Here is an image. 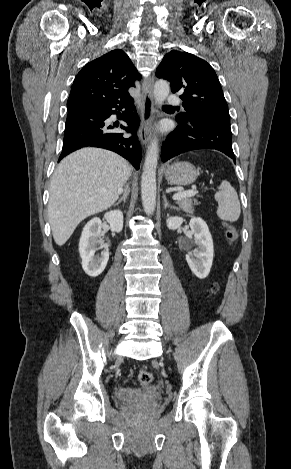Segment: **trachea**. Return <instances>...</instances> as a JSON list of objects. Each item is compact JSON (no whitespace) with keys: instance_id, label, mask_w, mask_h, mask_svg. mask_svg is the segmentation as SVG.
Returning <instances> with one entry per match:
<instances>
[{"instance_id":"3493384b","label":"trachea","mask_w":291,"mask_h":469,"mask_svg":"<svg viewBox=\"0 0 291 469\" xmlns=\"http://www.w3.org/2000/svg\"><path fill=\"white\" fill-rule=\"evenodd\" d=\"M164 107H166V108H173V107H171V106H168V105H164Z\"/></svg>"}]
</instances>
